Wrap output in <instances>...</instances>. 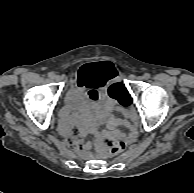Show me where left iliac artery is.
Masks as SVG:
<instances>
[{"mask_svg": "<svg viewBox=\"0 0 194 193\" xmlns=\"http://www.w3.org/2000/svg\"><path fill=\"white\" fill-rule=\"evenodd\" d=\"M144 78H145V79H149V78H150V74H149V73H145V74H144Z\"/></svg>", "mask_w": 194, "mask_h": 193, "instance_id": "44dca946", "label": "left iliac artery"}]
</instances>
